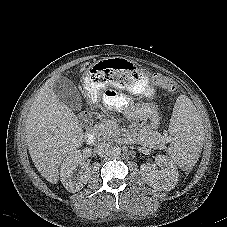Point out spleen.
<instances>
[{"label": "spleen", "mask_w": 227, "mask_h": 227, "mask_svg": "<svg viewBox=\"0 0 227 227\" xmlns=\"http://www.w3.org/2000/svg\"><path fill=\"white\" fill-rule=\"evenodd\" d=\"M187 110L173 115L171 131L176 134V143L170 149L172 159L184 170L190 169L199 157L203 140L202 125L190 101Z\"/></svg>", "instance_id": "spleen-1"}]
</instances>
